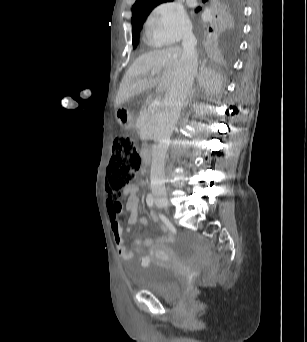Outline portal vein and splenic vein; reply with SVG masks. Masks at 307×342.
I'll return each instance as SVG.
<instances>
[{
	"mask_svg": "<svg viewBox=\"0 0 307 342\" xmlns=\"http://www.w3.org/2000/svg\"><path fill=\"white\" fill-rule=\"evenodd\" d=\"M151 76H155V74H153L151 72ZM148 108L149 109H160L161 108V103L156 99L154 102H149L148 103Z\"/></svg>",
	"mask_w": 307,
	"mask_h": 342,
	"instance_id": "portal-vein-and-splenic-vein-1",
	"label": "portal vein and splenic vein"
}]
</instances>
